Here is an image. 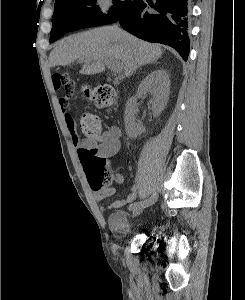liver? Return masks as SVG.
Listing matches in <instances>:
<instances>
[{
  "mask_svg": "<svg viewBox=\"0 0 245 300\" xmlns=\"http://www.w3.org/2000/svg\"><path fill=\"white\" fill-rule=\"evenodd\" d=\"M159 45L142 41L117 26H105L71 35L58 43L49 56L50 67L66 66L78 60L81 74L105 70L106 61L116 62L129 77L140 66L159 59Z\"/></svg>",
  "mask_w": 245,
  "mask_h": 300,
  "instance_id": "1",
  "label": "liver"
}]
</instances>
